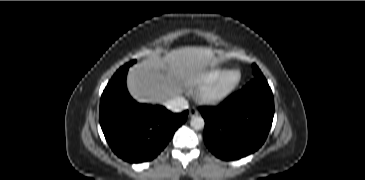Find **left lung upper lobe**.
Wrapping results in <instances>:
<instances>
[{"mask_svg":"<svg viewBox=\"0 0 365 180\" xmlns=\"http://www.w3.org/2000/svg\"><path fill=\"white\" fill-rule=\"evenodd\" d=\"M253 74H254V78L263 76V74L261 73V71L255 64H253Z\"/></svg>","mask_w":365,"mask_h":180,"instance_id":"obj_1","label":"left lung upper lobe"}]
</instances>
